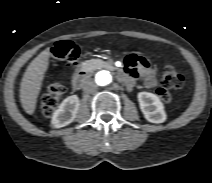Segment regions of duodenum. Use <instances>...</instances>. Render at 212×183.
I'll list each match as a JSON object with an SVG mask.
<instances>
[{
  "label": "duodenum",
  "mask_w": 212,
  "mask_h": 183,
  "mask_svg": "<svg viewBox=\"0 0 212 183\" xmlns=\"http://www.w3.org/2000/svg\"><path fill=\"white\" fill-rule=\"evenodd\" d=\"M89 69L88 68H83L79 70L76 75L74 76L73 79V85L75 88L80 89L84 86L88 76H89Z\"/></svg>",
  "instance_id": "410a0bca"
}]
</instances>
